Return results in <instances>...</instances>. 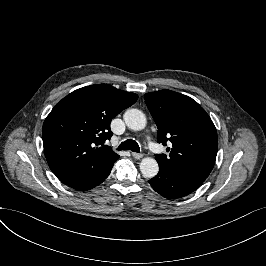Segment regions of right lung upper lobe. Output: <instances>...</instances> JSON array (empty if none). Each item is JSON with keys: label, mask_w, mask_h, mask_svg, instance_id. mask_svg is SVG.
<instances>
[{"label": "right lung upper lobe", "mask_w": 266, "mask_h": 266, "mask_svg": "<svg viewBox=\"0 0 266 266\" xmlns=\"http://www.w3.org/2000/svg\"><path fill=\"white\" fill-rule=\"evenodd\" d=\"M138 95L108 84L77 89L63 98L43 124L42 138L49 167L65 185L100 172L119 158L111 147V120Z\"/></svg>", "instance_id": "obj_1"}]
</instances>
